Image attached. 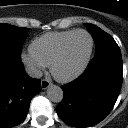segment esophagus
Returning a JSON list of instances; mask_svg holds the SVG:
<instances>
[{"label":"esophagus","mask_w":128,"mask_h":128,"mask_svg":"<svg viewBox=\"0 0 128 128\" xmlns=\"http://www.w3.org/2000/svg\"><path fill=\"white\" fill-rule=\"evenodd\" d=\"M51 85V82L47 79H42L41 80V88L43 90L47 89Z\"/></svg>","instance_id":"obj_1"}]
</instances>
